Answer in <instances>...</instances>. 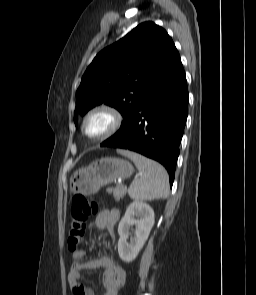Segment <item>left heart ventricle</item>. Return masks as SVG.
I'll list each match as a JSON object with an SVG mask.
<instances>
[{
  "mask_svg": "<svg viewBox=\"0 0 256 295\" xmlns=\"http://www.w3.org/2000/svg\"><path fill=\"white\" fill-rule=\"evenodd\" d=\"M109 120L104 114H97L91 117L85 127L86 135L94 137L102 134L108 127Z\"/></svg>",
  "mask_w": 256,
  "mask_h": 295,
  "instance_id": "obj_1",
  "label": "left heart ventricle"
}]
</instances>
